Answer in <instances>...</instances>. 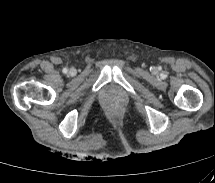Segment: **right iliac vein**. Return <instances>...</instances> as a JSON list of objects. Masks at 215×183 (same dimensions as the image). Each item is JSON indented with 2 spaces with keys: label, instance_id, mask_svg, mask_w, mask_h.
Instances as JSON below:
<instances>
[{
  "label": "right iliac vein",
  "instance_id": "right-iliac-vein-1",
  "mask_svg": "<svg viewBox=\"0 0 215 183\" xmlns=\"http://www.w3.org/2000/svg\"><path fill=\"white\" fill-rule=\"evenodd\" d=\"M69 73H70V75H74V74L76 73V72H75V69H73V68L70 69V70H69Z\"/></svg>",
  "mask_w": 215,
  "mask_h": 183
}]
</instances>
